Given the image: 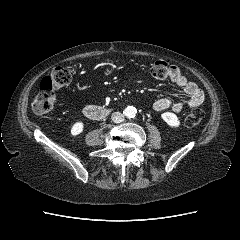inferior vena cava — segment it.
<instances>
[{"label":"inferior vena cava","instance_id":"inferior-vena-cava-1","mask_svg":"<svg viewBox=\"0 0 240 240\" xmlns=\"http://www.w3.org/2000/svg\"><path fill=\"white\" fill-rule=\"evenodd\" d=\"M111 119L114 123H121L124 121V115L120 112L112 113Z\"/></svg>","mask_w":240,"mask_h":240}]
</instances>
